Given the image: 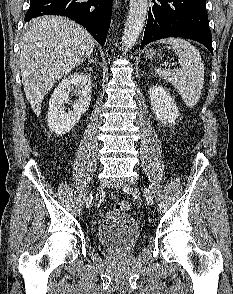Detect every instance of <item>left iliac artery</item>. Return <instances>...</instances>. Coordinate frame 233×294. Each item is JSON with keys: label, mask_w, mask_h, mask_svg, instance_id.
Here are the masks:
<instances>
[{"label": "left iliac artery", "mask_w": 233, "mask_h": 294, "mask_svg": "<svg viewBox=\"0 0 233 294\" xmlns=\"http://www.w3.org/2000/svg\"><path fill=\"white\" fill-rule=\"evenodd\" d=\"M144 194H145V197H146V200L148 202V204H152L153 203V198H152V195L150 193V191H148V189H144Z\"/></svg>", "instance_id": "left-iliac-artery-1"}]
</instances>
